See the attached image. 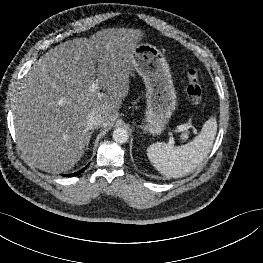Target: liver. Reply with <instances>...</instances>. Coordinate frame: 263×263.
Masks as SVG:
<instances>
[{
    "label": "liver",
    "mask_w": 263,
    "mask_h": 263,
    "mask_svg": "<svg viewBox=\"0 0 263 263\" xmlns=\"http://www.w3.org/2000/svg\"><path fill=\"white\" fill-rule=\"evenodd\" d=\"M139 29L108 28L50 49L30 68L13 102L15 134L26 160L48 173L70 170L89 141L87 116L110 128L128 95ZM98 81L103 92L89 88Z\"/></svg>",
    "instance_id": "liver-1"
}]
</instances>
